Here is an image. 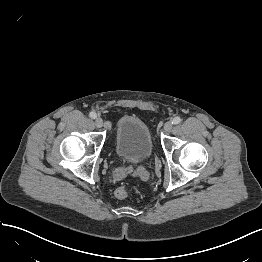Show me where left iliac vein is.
<instances>
[{
  "label": "left iliac vein",
  "instance_id": "1",
  "mask_svg": "<svg viewBox=\"0 0 262 262\" xmlns=\"http://www.w3.org/2000/svg\"><path fill=\"white\" fill-rule=\"evenodd\" d=\"M172 127H173V125H172L171 122H166L165 125H164L165 132H170Z\"/></svg>",
  "mask_w": 262,
  "mask_h": 262
}]
</instances>
